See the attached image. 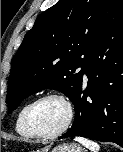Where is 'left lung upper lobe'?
I'll return each instance as SVG.
<instances>
[{
	"label": "left lung upper lobe",
	"mask_w": 123,
	"mask_h": 152,
	"mask_svg": "<svg viewBox=\"0 0 123 152\" xmlns=\"http://www.w3.org/2000/svg\"><path fill=\"white\" fill-rule=\"evenodd\" d=\"M121 0H59L41 13L12 59L9 110L43 89L64 93L72 102L83 68Z\"/></svg>",
	"instance_id": "1"
}]
</instances>
